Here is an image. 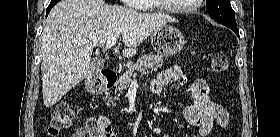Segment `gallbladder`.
<instances>
[{"instance_id":"gallbladder-1","label":"gallbladder","mask_w":280,"mask_h":137,"mask_svg":"<svg viewBox=\"0 0 280 137\" xmlns=\"http://www.w3.org/2000/svg\"><path fill=\"white\" fill-rule=\"evenodd\" d=\"M94 72H99L104 68V62L100 58H95L91 62Z\"/></svg>"}]
</instances>
